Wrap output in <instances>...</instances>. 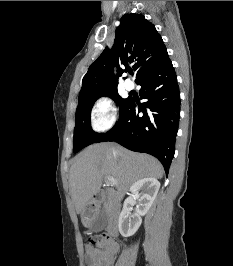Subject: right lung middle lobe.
I'll return each instance as SVG.
<instances>
[{
  "label": "right lung middle lobe",
  "instance_id": "obj_1",
  "mask_svg": "<svg viewBox=\"0 0 233 266\" xmlns=\"http://www.w3.org/2000/svg\"><path fill=\"white\" fill-rule=\"evenodd\" d=\"M101 96H109L119 105V114L127 106L129 98L122 99L116 89L96 93L78 100L76 110V125L74 129L73 151L78 152L89 144L94 143L102 135L95 133L90 124V113L94 102Z\"/></svg>",
  "mask_w": 233,
  "mask_h": 266
}]
</instances>
